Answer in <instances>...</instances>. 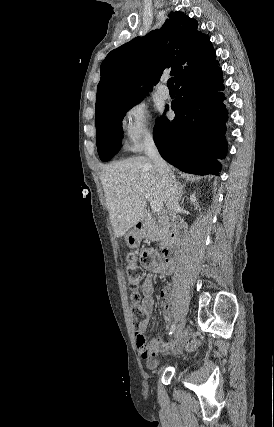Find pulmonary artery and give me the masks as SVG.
I'll return each mask as SVG.
<instances>
[{"label": "pulmonary artery", "instance_id": "pulmonary-artery-1", "mask_svg": "<svg viewBox=\"0 0 274 427\" xmlns=\"http://www.w3.org/2000/svg\"><path fill=\"white\" fill-rule=\"evenodd\" d=\"M158 94L162 100H167L170 97V91L165 84H161L158 87Z\"/></svg>", "mask_w": 274, "mask_h": 427}]
</instances>
